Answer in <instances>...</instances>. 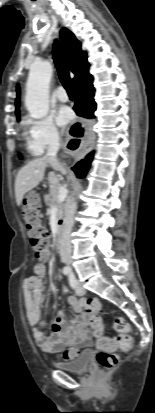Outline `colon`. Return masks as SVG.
<instances>
[{
    "mask_svg": "<svg viewBox=\"0 0 155 413\" xmlns=\"http://www.w3.org/2000/svg\"><path fill=\"white\" fill-rule=\"evenodd\" d=\"M42 200L41 192H26L22 200L23 217L27 225L28 235L32 247L38 259H43L49 253V235L41 223L40 201ZM87 311L97 319H102L103 306L100 300L90 298L86 300ZM98 326V325H96ZM115 329L119 333L116 345L122 352H129L132 349L133 340L129 335L130 325L124 318H117ZM98 347L100 351L96 354L97 363L106 370L113 369L117 366L119 357L112 350L115 344L99 333Z\"/></svg>",
    "mask_w": 155,
    "mask_h": 413,
    "instance_id": "1",
    "label": "colon"
}]
</instances>
